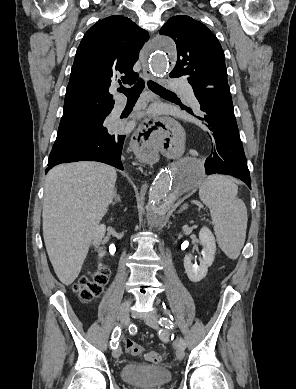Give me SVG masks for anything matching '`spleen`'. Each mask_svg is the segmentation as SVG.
Segmentation results:
<instances>
[{"label": "spleen", "instance_id": "3e777b00", "mask_svg": "<svg viewBox=\"0 0 296 389\" xmlns=\"http://www.w3.org/2000/svg\"><path fill=\"white\" fill-rule=\"evenodd\" d=\"M237 193V185L223 175L206 178L199 188L200 200L210 210L217 243L230 259L240 255L248 221L247 208Z\"/></svg>", "mask_w": 296, "mask_h": 389}]
</instances>
